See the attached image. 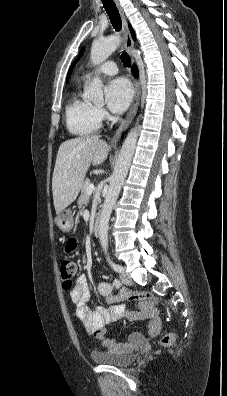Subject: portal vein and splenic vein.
<instances>
[{
	"label": "portal vein and splenic vein",
	"instance_id": "obj_1",
	"mask_svg": "<svg viewBox=\"0 0 227 396\" xmlns=\"http://www.w3.org/2000/svg\"><path fill=\"white\" fill-rule=\"evenodd\" d=\"M93 191H94V185H90L88 188H87V193L89 194V195H91L92 193H93Z\"/></svg>",
	"mask_w": 227,
	"mask_h": 396
}]
</instances>
